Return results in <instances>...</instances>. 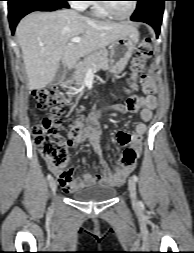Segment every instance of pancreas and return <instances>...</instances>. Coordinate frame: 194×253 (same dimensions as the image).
I'll return each instance as SVG.
<instances>
[{
	"label": "pancreas",
	"mask_w": 194,
	"mask_h": 253,
	"mask_svg": "<svg viewBox=\"0 0 194 253\" xmlns=\"http://www.w3.org/2000/svg\"><path fill=\"white\" fill-rule=\"evenodd\" d=\"M89 69L93 71L109 69L108 51L106 49L90 53L83 61L77 65L72 78L73 83H75L77 87L84 84L85 77ZM76 90V87H70L67 94L70 96L72 92Z\"/></svg>",
	"instance_id": "pancreas-1"
}]
</instances>
